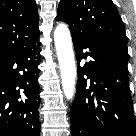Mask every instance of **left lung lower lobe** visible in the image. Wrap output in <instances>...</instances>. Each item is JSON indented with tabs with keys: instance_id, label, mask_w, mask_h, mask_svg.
Segmentation results:
<instances>
[{
	"instance_id": "0a47b994",
	"label": "left lung lower lobe",
	"mask_w": 136,
	"mask_h": 136,
	"mask_svg": "<svg viewBox=\"0 0 136 136\" xmlns=\"http://www.w3.org/2000/svg\"><path fill=\"white\" fill-rule=\"evenodd\" d=\"M72 39L78 67L76 96L70 110L72 136H136L127 55L84 37ZM87 56L90 61L81 67V60Z\"/></svg>"
}]
</instances>
